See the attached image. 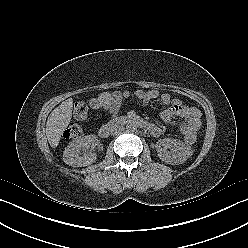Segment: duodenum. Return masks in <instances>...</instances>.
I'll return each mask as SVG.
<instances>
[{
    "mask_svg": "<svg viewBox=\"0 0 248 248\" xmlns=\"http://www.w3.org/2000/svg\"><path fill=\"white\" fill-rule=\"evenodd\" d=\"M125 124H133L139 128H144V129L149 127V123L136 116L131 115V116L117 118L111 124L102 126L99 130V135L102 138H108L111 135L113 129L117 128L120 125H125Z\"/></svg>",
    "mask_w": 248,
    "mask_h": 248,
    "instance_id": "1",
    "label": "duodenum"
}]
</instances>
